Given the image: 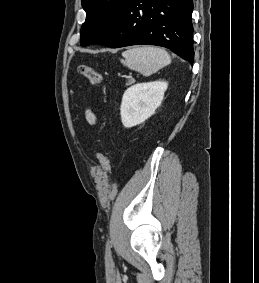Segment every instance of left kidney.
I'll use <instances>...</instances> for the list:
<instances>
[{"instance_id": "5707ae66", "label": "left kidney", "mask_w": 259, "mask_h": 283, "mask_svg": "<svg viewBox=\"0 0 259 283\" xmlns=\"http://www.w3.org/2000/svg\"><path fill=\"white\" fill-rule=\"evenodd\" d=\"M168 83L154 81L138 83L128 88L122 98L121 121L131 128L150 118L161 105Z\"/></svg>"}]
</instances>
